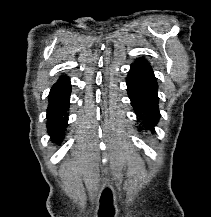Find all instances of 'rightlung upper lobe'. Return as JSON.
Masks as SVG:
<instances>
[{
  "instance_id": "right-lung-upper-lobe-1",
  "label": "right lung upper lobe",
  "mask_w": 211,
  "mask_h": 217,
  "mask_svg": "<svg viewBox=\"0 0 211 217\" xmlns=\"http://www.w3.org/2000/svg\"><path fill=\"white\" fill-rule=\"evenodd\" d=\"M64 78H65V76H61V77L59 78V80H60V79H64Z\"/></svg>"
}]
</instances>
